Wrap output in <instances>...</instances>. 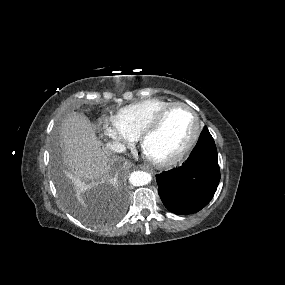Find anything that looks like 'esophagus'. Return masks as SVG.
Masks as SVG:
<instances>
[{"mask_svg":"<svg viewBox=\"0 0 285 285\" xmlns=\"http://www.w3.org/2000/svg\"><path fill=\"white\" fill-rule=\"evenodd\" d=\"M141 168L143 169V170H150V167L148 166V165H143V166H141Z\"/></svg>","mask_w":285,"mask_h":285,"instance_id":"34e87169","label":"esophagus"}]
</instances>
